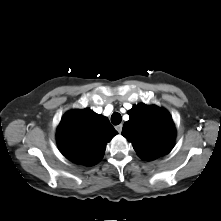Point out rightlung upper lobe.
<instances>
[{
    "mask_svg": "<svg viewBox=\"0 0 221 221\" xmlns=\"http://www.w3.org/2000/svg\"><path fill=\"white\" fill-rule=\"evenodd\" d=\"M118 134L108 118L86 108L67 112L57 129V143L69 160L91 166L100 161L106 144Z\"/></svg>",
    "mask_w": 221,
    "mask_h": 221,
    "instance_id": "right-lung-upper-lobe-1",
    "label": "right lung upper lobe"
}]
</instances>
